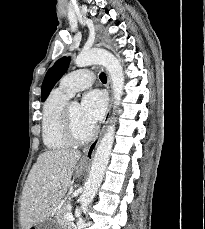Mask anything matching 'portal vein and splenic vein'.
Wrapping results in <instances>:
<instances>
[{"mask_svg": "<svg viewBox=\"0 0 205 229\" xmlns=\"http://www.w3.org/2000/svg\"><path fill=\"white\" fill-rule=\"evenodd\" d=\"M64 217H65L66 220H69V221L74 220V216L70 212L69 213H66Z\"/></svg>", "mask_w": 205, "mask_h": 229, "instance_id": "portal-vein-and-splenic-vein-1", "label": "portal vein and splenic vein"}]
</instances>
